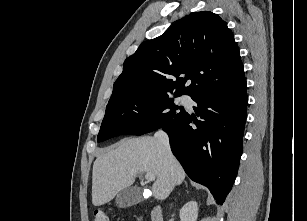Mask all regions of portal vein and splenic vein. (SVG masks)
I'll use <instances>...</instances> for the list:
<instances>
[{
	"label": "portal vein and splenic vein",
	"instance_id": "obj_1",
	"mask_svg": "<svg viewBox=\"0 0 307 221\" xmlns=\"http://www.w3.org/2000/svg\"><path fill=\"white\" fill-rule=\"evenodd\" d=\"M144 176H145V178H146L148 181H153V180H155V175L152 174V173L147 172V173H145Z\"/></svg>",
	"mask_w": 307,
	"mask_h": 221
}]
</instances>
